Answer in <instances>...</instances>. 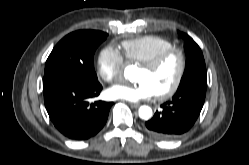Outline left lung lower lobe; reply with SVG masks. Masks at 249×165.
Returning <instances> with one entry per match:
<instances>
[{
    "mask_svg": "<svg viewBox=\"0 0 249 165\" xmlns=\"http://www.w3.org/2000/svg\"><path fill=\"white\" fill-rule=\"evenodd\" d=\"M206 87L193 85L177 91L171 101L161 105L145 125L154 136L163 140L176 139L186 133L197 120L204 104Z\"/></svg>",
    "mask_w": 249,
    "mask_h": 165,
    "instance_id": "obj_1",
    "label": "left lung lower lobe"
}]
</instances>
